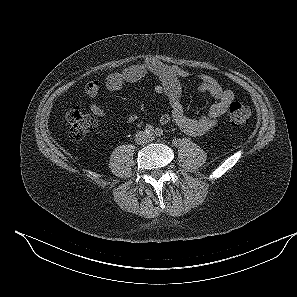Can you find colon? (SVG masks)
<instances>
[{"instance_id":"1","label":"colon","mask_w":297,"mask_h":297,"mask_svg":"<svg viewBox=\"0 0 297 297\" xmlns=\"http://www.w3.org/2000/svg\"><path fill=\"white\" fill-rule=\"evenodd\" d=\"M252 114V108L239 101L232 102L229 107V121L234 126L247 124ZM66 119L69 123V137L74 141L81 140L97 127V120L78 107L68 109Z\"/></svg>"}]
</instances>
